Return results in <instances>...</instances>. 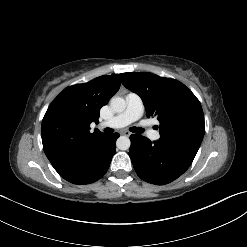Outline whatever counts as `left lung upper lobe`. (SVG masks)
<instances>
[{
	"mask_svg": "<svg viewBox=\"0 0 247 247\" xmlns=\"http://www.w3.org/2000/svg\"><path fill=\"white\" fill-rule=\"evenodd\" d=\"M122 84L143 100L148 117L160 122L159 141L195 157L205 133L199 100L181 82L148 72L122 73Z\"/></svg>",
	"mask_w": 247,
	"mask_h": 247,
	"instance_id": "left-lung-upper-lobe-1",
	"label": "left lung upper lobe"
}]
</instances>
